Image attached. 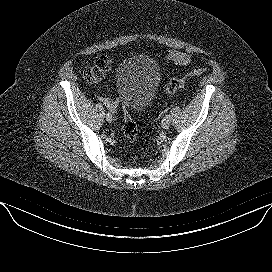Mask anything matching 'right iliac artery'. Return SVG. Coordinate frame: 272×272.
Wrapping results in <instances>:
<instances>
[{
  "label": "right iliac artery",
  "mask_w": 272,
  "mask_h": 272,
  "mask_svg": "<svg viewBox=\"0 0 272 272\" xmlns=\"http://www.w3.org/2000/svg\"><path fill=\"white\" fill-rule=\"evenodd\" d=\"M103 114L105 115V117H110V111L104 110Z\"/></svg>",
  "instance_id": "right-iliac-artery-1"
}]
</instances>
